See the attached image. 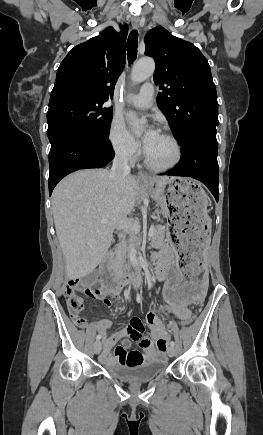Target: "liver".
Masks as SVG:
<instances>
[{
  "mask_svg": "<svg viewBox=\"0 0 263 435\" xmlns=\"http://www.w3.org/2000/svg\"><path fill=\"white\" fill-rule=\"evenodd\" d=\"M137 189L131 175L119 189L105 169L77 171L56 186L52 211L67 279L83 278L99 265L114 229L122 227L133 210ZM104 219L106 223L101 222Z\"/></svg>",
  "mask_w": 263,
  "mask_h": 435,
  "instance_id": "obj_1",
  "label": "liver"
}]
</instances>
